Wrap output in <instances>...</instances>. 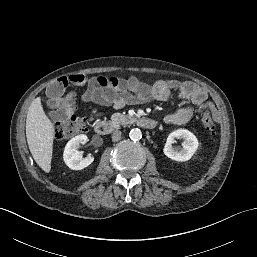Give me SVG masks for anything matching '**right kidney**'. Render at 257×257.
I'll list each match as a JSON object with an SVG mask.
<instances>
[{"label": "right kidney", "mask_w": 257, "mask_h": 257, "mask_svg": "<svg viewBox=\"0 0 257 257\" xmlns=\"http://www.w3.org/2000/svg\"><path fill=\"white\" fill-rule=\"evenodd\" d=\"M88 138L86 135H78L72 138L65 146L63 159L65 164L73 170H81L89 166L94 158L89 156L83 158L78 152L80 143H86Z\"/></svg>", "instance_id": "obj_1"}]
</instances>
